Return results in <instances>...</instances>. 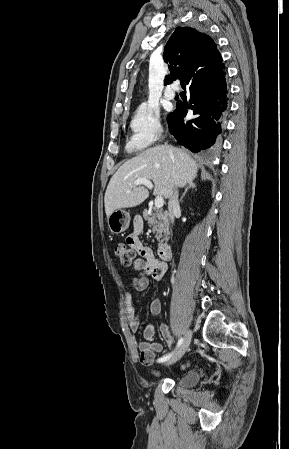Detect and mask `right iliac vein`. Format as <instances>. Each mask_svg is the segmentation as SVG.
Masks as SVG:
<instances>
[{
	"label": "right iliac vein",
	"mask_w": 289,
	"mask_h": 449,
	"mask_svg": "<svg viewBox=\"0 0 289 449\" xmlns=\"http://www.w3.org/2000/svg\"><path fill=\"white\" fill-rule=\"evenodd\" d=\"M191 338H192V331L188 330L184 336L183 343L181 344L178 351L166 361L165 363L166 366H170L182 358V356L185 354L190 345Z\"/></svg>",
	"instance_id": "63e3f726"
}]
</instances>
